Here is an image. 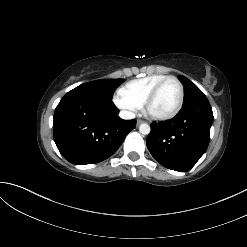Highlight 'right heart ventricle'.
Listing matches in <instances>:
<instances>
[{"label": "right heart ventricle", "mask_w": 247, "mask_h": 247, "mask_svg": "<svg viewBox=\"0 0 247 247\" xmlns=\"http://www.w3.org/2000/svg\"><path fill=\"white\" fill-rule=\"evenodd\" d=\"M166 76L167 75L164 74H153L132 80L121 89V92L129 99L141 106L143 105L144 100L149 92L159 81H161Z\"/></svg>", "instance_id": "1"}]
</instances>
